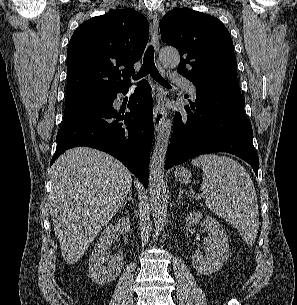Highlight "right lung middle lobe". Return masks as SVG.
<instances>
[{
	"label": "right lung middle lobe",
	"instance_id": "right-lung-middle-lobe-1",
	"mask_svg": "<svg viewBox=\"0 0 297 305\" xmlns=\"http://www.w3.org/2000/svg\"><path fill=\"white\" fill-rule=\"evenodd\" d=\"M110 103V94H99L86 98H81L71 102H66L63 123L86 113L92 109L109 105Z\"/></svg>",
	"mask_w": 297,
	"mask_h": 305
}]
</instances>
